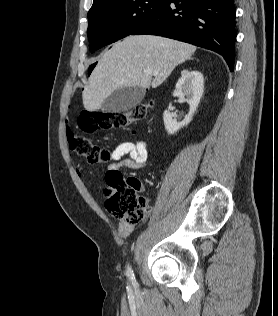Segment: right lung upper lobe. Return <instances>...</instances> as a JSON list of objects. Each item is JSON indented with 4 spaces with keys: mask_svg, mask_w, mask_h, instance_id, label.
I'll return each mask as SVG.
<instances>
[{
    "mask_svg": "<svg viewBox=\"0 0 278 316\" xmlns=\"http://www.w3.org/2000/svg\"><path fill=\"white\" fill-rule=\"evenodd\" d=\"M105 1H108V0H94L92 7H94V6H96V5H99V4H101V3L105 2Z\"/></svg>",
    "mask_w": 278,
    "mask_h": 316,
    "instance_id": "cb5924a9",
    "label": "right lung upper lobe"
}]
</instances>
